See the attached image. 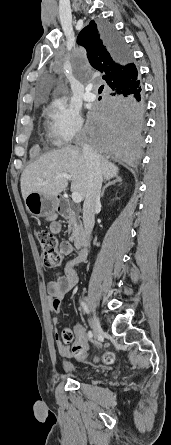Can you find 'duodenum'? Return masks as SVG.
<instances>
[{
  "label": "duodenum",
  "mask_w": 171,
  "mask_h": 445,
  "mask_svg": "<svg viewBox=\"0 0 171 445\" xmlns=\"http://www.w3.org/2000/svg\"><path fill=\"white\" fill-rule=\"evenodd\" d=\"M57 210L59 215L65 216L71 213V207L68 201L62 197H59L57 201ZM89 236L85 230H80L76 235L75 241L76 245L84 250L86 244L88 243Z\"/></svg>",
  "instance_id": "1"
}]
</instances>
